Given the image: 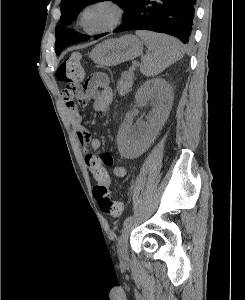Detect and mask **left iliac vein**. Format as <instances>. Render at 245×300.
<instances>
[{
  "label": "left iliac vein",
  "mask_w": 245,
  "mask_h": 300,
  "mask_svg": "<svg viewBox=\"0 0 245 300\" xmlns=\"http://www.w3.org/2000/svg\"><path fill=\"white\" fill-rule=\"evenodd\" d=\"M133 229V222L128 223L119 238L117 251L119 259L122 262L128 261V238Z\"/></svg>",
  "instance_id": "left-iliac-vein-1"
}]
</instances>
